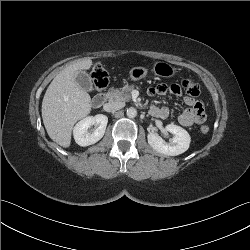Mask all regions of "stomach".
I'll return each mask as SVG.
<instances>
[{"label": "stomach", "mask_w": 250, "mask_h": 250, "mask_svg": "<svg viewBox=\"0 0 250 250\" xmlns=\"http://www.w3.org/2000/svg\"><path fill=\"white\" fill-rule=\"evenodd\" d=\"M153 72L158 77L169 78L177 73V69L164 61H157L153 66ZM148 74V69L145 67H133L129 72V77L133 81L144 79Z\"/></svg>", "instance_id": "0dacf381"}]
</instances>
